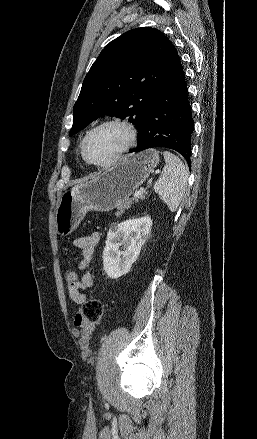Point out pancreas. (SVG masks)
<instances>
[{"label":"pancreas","instance_id":"1","mask_svg":"<svg viewBox=\"0 0 257 439\" xmlns=\"http://www.w3.org/2000/svg\"><path fill=\"white\" fill-rule=\"evenodd\" d=\"M144 200L145 199V194H141L140 196H138V197H133L132 199H128V200H126L125 202H123L120 206H119V211H117L116 213H115V215L117 216V217H119V216H121L124 212H125V210H127V209H129L130 207H131V205L133 204V202H138V200Z\"/></svg>","mask_w":257,"mask_h":439}]
</instances>
